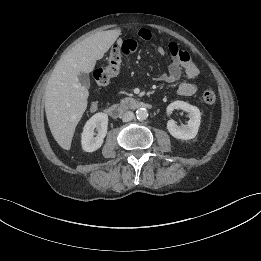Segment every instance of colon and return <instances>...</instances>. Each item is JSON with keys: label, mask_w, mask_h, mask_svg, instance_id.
Masks as SVG:
<instances>
[{"label": "colon", "mask_w": 261, "mask_h": 261, "mask_svg": "<svg viewBox=\"0 0 261 261\" xmlns=\"http://www.w3.org/2000/svg\"><path fill=\"white\" fill-rule=\"evenodd\" d=\"M122 53L120 47L113 48L107 58L106 66L94 71L93 77L98 85H107L119 73L122 64ZM202 99L206 104L213 105L216 102V93L212 89H206L202 94Z\"/></svg>", "instance_id": "colon-1"}]
</instances>
